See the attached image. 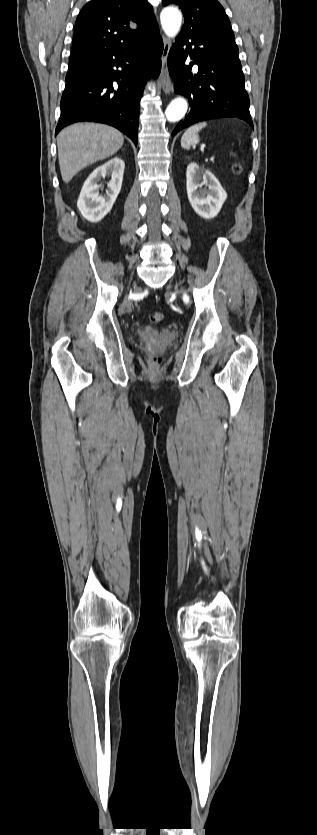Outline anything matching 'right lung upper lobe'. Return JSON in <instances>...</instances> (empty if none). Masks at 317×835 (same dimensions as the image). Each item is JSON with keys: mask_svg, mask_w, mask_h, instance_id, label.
<instances>
[{"mask_svg": "<svg viewBox=\"0 0 317 835\" xmlns=\"http://www.w3.org/2000/svg\"><path fill=\"white\" fill-rule=\"evenodd\" d=\"M147 0H92L80 11L72 53L114 52L149 36L158 28Z\"/></svg>", "mask_w": 317, "mask_h": 835, "instance_id": "1", "label": "right lung upper lobe"}]
</instances>
